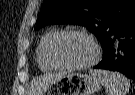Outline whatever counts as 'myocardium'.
<instances>
[{
	"label": "myocardium",
	"mask_w": 135,
	"mask_h": 95,
	"mask_svg": "<svg viewBox=\"0 0 135 95\" xmlns=\"http://www.w3.org/2000/svg\"><path fill=\"white\" fill-rule=\"evenodd\" d=\"M67 35H79V36L85 37L86 39H88L91 42L93 49H94V55L88 62L79 64V65H68V64L61 63L60 61L57 60V58L55 57V54H54L55 45L61 38H63L64 36H67ZM99 56H100V47H99L97 41L89 33L85 32L83 30H78V29H67V30L59 31L58 33H56L53 36V38L50 40L48 47H47V58H48L49 62L53 66H55L59 69H65V70H71V71L83 70V69H86V68L94 65L96 63V61L98 60Z\"/></svg>",
	"instance_id": "myocardium-1"
}]
</instances>
